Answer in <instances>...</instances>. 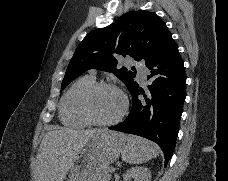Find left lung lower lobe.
<instances>
[{
	"mask_svg": "<svg viewBox=\"0 0 228 181\" xmlns=\"http://www.w3.org/2000/svg\"><path fill=\"white\" fill-rule=\"evenodd\" d=\"M152 84L144 91L138 83L130 90L132 108L127 118L111 130L135 134L156 142L165 165L175 149L186 97L183 60L172 37L145 63Z\"/></svg>",
	"mask_w": 228,
	"mask_h": 181,
	"instance_id": "obj_1",
	"label": "left lung lower lobe"
}]
</instances>
